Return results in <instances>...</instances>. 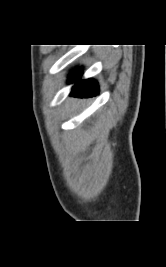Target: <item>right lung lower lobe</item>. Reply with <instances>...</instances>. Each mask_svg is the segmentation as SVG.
Wrapping results in <instances>:
<instances>
[{
    "label": "right lung lower lobe",
    "instance_id": "right-lung-lower-lobe-1",
    "mask_svg": "<svg viewBox=\"0 0 166 267\" xmlns=\"http://www.w3.org/2000/svg\"><path fill=\"white\" fill-rule=\"evenodd\" d=\"M81 71L77 70L70 76V82L76 81L72 88L71 96L75 97H92L98 94L99 86L92 79L81 80Z\"/></svg>",
    "mask_w": 166,
    "mask_h": 267
}]
</instances>
